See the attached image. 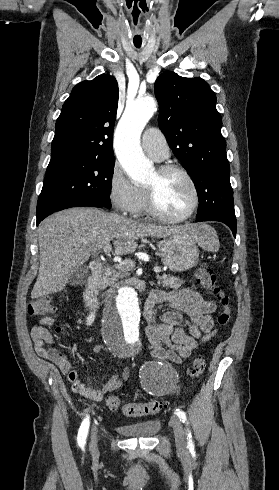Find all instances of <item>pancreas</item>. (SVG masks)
I'll return each instance as SVG.
<instances>
[{
	"label": "pancreas",
	"mask_w": 279,
	"mask_h": 490,
	"mask_svg": "<svg viewBox=\"0 0 279 490\" xmlns=\"http://www.w3.org/2000/svg\"><path fill=\"white\" fill-rule=\"evenodd\" d=\"M135 268V264H121V266H114V268H108L104 272L102 278H100L101 288H107V286H113L118 282L119 278H125L129 276L131 270ZM158 284H162V288H180L183 282L179 278H174V276H157Z\"/></svg>",
	"instance_id": "1"
}]
</instances>
